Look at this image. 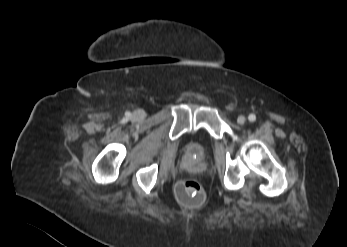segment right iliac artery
Returning a JSON list of instances; mask_svg holds the SVG:
<instances>
[{
  "label": "right iliac artery",
  "mask_w": 347,
  "mask_h": 247,
  "mask_svg": "<svg viewBox=\"0 0 347 247\" xmlns=\"http://www.w3.org/2000/svg\"><path fill=\"white\" fill-rule=\"evenodd\" d=\"M127 116H130V113H127Z\"/></svg>",
  "instance_id": "obj_1"
}]
</instances>
